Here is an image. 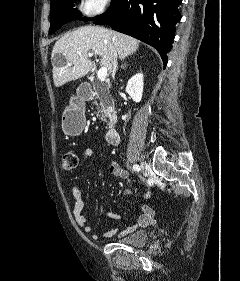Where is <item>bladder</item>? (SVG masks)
Instances as JSON below:
<instances>
[{
  "instance_id": "31cf9c89",
  "label": "bladder",
  "mask_w": 240,
  "mask_h": 281,
  "mask_svg": "<svg viewBox=\"0 0 240 281\" xmlns=\"http://www.w3.org/2000/svg\"><path fill=\"white\" fill-rule=\"evenodd\" d=\"M148 232L146 230H138L120 238V242L131 246H141L148 240Z\"/></svg>"
}]
</instances>
